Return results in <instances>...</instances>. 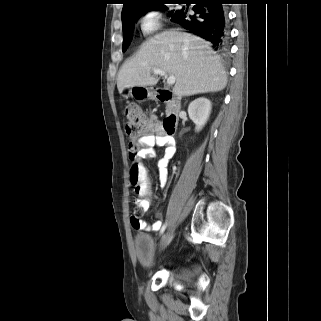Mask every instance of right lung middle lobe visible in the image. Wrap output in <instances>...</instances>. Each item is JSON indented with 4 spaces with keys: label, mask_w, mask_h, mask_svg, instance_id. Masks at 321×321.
<instances>
[{
    "label": "right lung middle lobe",
    "mask_w": 321,
    "mask_h": 321,
    "mask_svg": "<svg viewBox=\"0 0 321 321\" xmlns=\"http://www.w3.org/2000/svg\"><path fill=\"white\" fill-rule=\"evenodd\" d=\"M167 1L158 2L155 5L148 6L138 12L131 13L125 16H122V28H123V46L122 51L125 52L126 49L129 47L131 40H132V34L134 29L135 22L144 15L149 10H162L163 8L166 10L167 8L163 5L167 3ZM175 10H172L168 13V16H172Z\"/></svg>",
    "instance_id": "dd1d6c3e"
}]
</instances>
